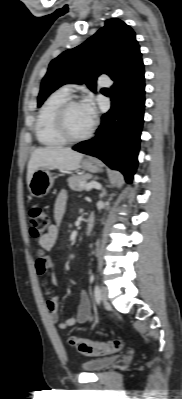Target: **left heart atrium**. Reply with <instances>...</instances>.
<instances>
[{
    "label": "left heart atrium",
    "instance_id": "1",
    "mask_svg": "<svg viewBox=\"0 0 182 399\" xmlns=\"http://www.w3.org/2000/svg\"><path fill=\"white\" fill-rule=\"evenodd\" d=\"M82 106H83L84 110L86 111V113L88 114V116L93 121L95 116H96V110H95V107H94V104H93L92 100L91 99L85 100L82 103Z\"/></svg>",
    "mask_w": 182,
    "mask_h": 399
}]
</instances>
